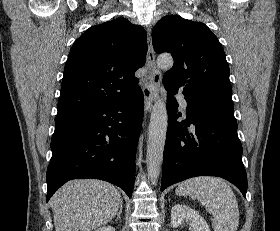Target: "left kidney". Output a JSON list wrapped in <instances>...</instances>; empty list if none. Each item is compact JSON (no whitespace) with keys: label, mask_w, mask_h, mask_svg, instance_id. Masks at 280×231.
I'll use <instances>...</instances> for the list:
<instances>
[{"label":"left kidney","mask_w":280,"mask_h":231,"mask_svg":"<svg viewBox=\"0 0 280 231\" xmlns=\"http://www.w3.org/2000/svg\"><path fill=\"white\" fill-rule=\"evenodd\" d=\"M183 223H189L192 231H210V227L204 217L198 211L187 205H173L171 209V225L179 227Z\"/></svg>","instance_id":"5707ae66"}]
</instances>
